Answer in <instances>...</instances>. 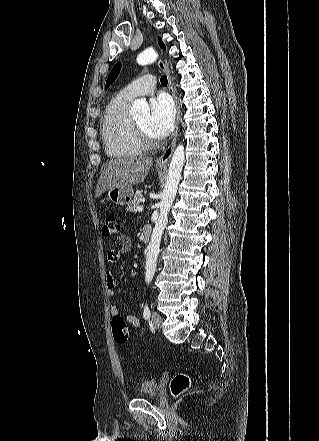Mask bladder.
<instances>
[{"label": "bladder", "instance_id": "obj_1", "mask_svg": "<svg viewBox=\"0 0 319 441\" xmlns=\"http://www.w3.org/2000/svg\"><path fill=\"white\" fill-rule=\"evenodd\" d=\"M158 394V383L155 379L142 382L137 389V395L143 397H153Z\"/></svg>", "mask_w": 319, "mask_h": 441}]
</instances>
